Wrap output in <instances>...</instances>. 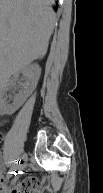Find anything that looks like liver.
<instances>
[{
	"label": "liver",
	"mask_w": 103,
	"mask_h": 193,
	"mask_svg": "<svg viewBox=\"0 0 103 193\" xmlns=\"http://www.w3.org/2000/svg\"><path fill=\"white\" fill-rule=\"evenodd\" d=\"M53 0H0V79L43 58L53 33Z\"/></svg>",
	"instance_id": "liver-1"
}]
</instances>
